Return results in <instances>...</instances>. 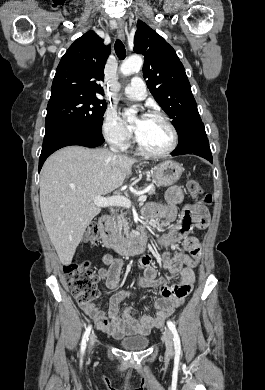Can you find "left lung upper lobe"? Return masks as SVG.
<instances>
[{
  "instance_id": "left-lung-upper-lobe-1",
  "label": "left lung upper lobe",
  "mask_w": 265,
  "mask_h": 390,
  "mask_svg": "<svg viewBox=\"0 0 265 390\" xmlns=\"http://www.w3.org/2000/svg\"><path fill=\"white\" fill-rule=\"evenodd\" d=\"M137 26L134 52L144 55L143 77L154 99L171 117L181 146L203 125L184 66L164 38L141 21Z\"/></svg>"
}]
</instances>
